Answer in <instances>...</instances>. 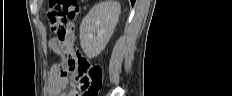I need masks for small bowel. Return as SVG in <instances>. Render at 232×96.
Here are the masks:
<instances>
[{
  "instance_id": "c3829d8e",
  "label": "small bowel",
  "mask_w": 232,
  "mask_h": 96,
  "mask_svg": "<svg viewBox=\"0 0 232 96\" xmlns=\"http://www.w3.org/2000/svg\"><path fill=\"white\" fill-rule=\"evenodd\" d=\"M67 28L69 35H78V32L80 31L77 22H69ZM49 46L54 51L59 53L58 48L60 44L57 43L55 40L50 41ZM70 71H72V69L70 70L68 69L65 60H63L62 63L51 68L50 72L48 73V81H49L48 93L50 96H66V95L77 96L76 88H74L73 91H69L68 89V73Z\"/></svg>"
}]
</instances>
